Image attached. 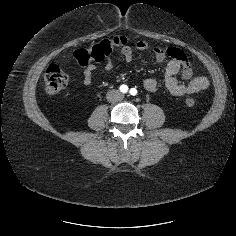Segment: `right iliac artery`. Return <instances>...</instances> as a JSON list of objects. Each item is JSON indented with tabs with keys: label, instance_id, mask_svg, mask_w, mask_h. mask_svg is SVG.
I'll return each instance as SVG.
<instances>
[{
	"label": "right iliac artery",
	"instance_id": "obj_1",
	"mask_svg": "<svg viewBox=\"0 0 236 236\" xmlns=\"http://www.w3.org/2000/svg\"><path fill=\"white\" fill-rule=\"evenodd\" d=\"M119 89L122 93H126L128 91V86L123 84L120 86Z\"/></svg>",
	"mask_w": 236,
	"mask_h": 236
}]
</instances>
